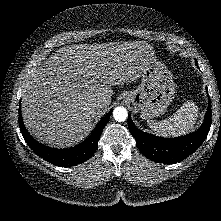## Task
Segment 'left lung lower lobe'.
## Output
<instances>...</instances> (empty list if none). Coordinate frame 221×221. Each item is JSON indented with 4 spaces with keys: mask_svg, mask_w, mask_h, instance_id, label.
<instances>
[{
    "mask_svg": "<svg viewBox=\"0 0 221 221\" xmlns=\"http://www.w3.org/2000/svg\"><path fill=\"white\" fill-rule=\"evenodd\" d=\"M211 125V104L209 102L205 120L201 127L186 136L162 138L142 132L133 124L129 115L128 126L136 139L140 152L148 159L164 164H174L195 152L207 137Z\"/></svg>",
    "mask_w": 221,
    "mask_h": 221,
    "instance_id": "0a47b994",
    "label": "left lung lower lobe"
}]
</instances>
